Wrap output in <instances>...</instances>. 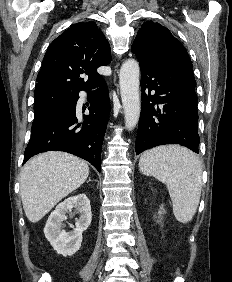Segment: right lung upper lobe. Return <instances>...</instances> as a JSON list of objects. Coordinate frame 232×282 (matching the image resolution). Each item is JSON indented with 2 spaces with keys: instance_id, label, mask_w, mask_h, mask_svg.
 <instances>
[{
  "instance_id": "right-lung-upper-lobe-1",
  "label": "right lung upper lobe",
  "mask_w": 232,
  "mask_h": 282,
  "mask_svg": "<svg viewBox=\"0 0 232 282\" xmlns=\"http://www.w3.org/2000/svg\"><path fill=\"white\" fill-rule=\"evenodd\" d=\"M110 62V45L95 22L76 23L47 49L35 92L58 91L75 95L103 79L96 69ZM83 74L88 75L86 82L81 77Z\"/></svg>"
}]
</instances>
